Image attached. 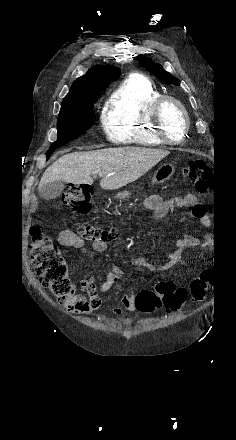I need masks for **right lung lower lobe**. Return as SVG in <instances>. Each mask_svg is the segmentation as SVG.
Masks as SVG:
<instances>
[{
	"instance_id": "1",
	"label": "right lung lower lobe",
	"mask_w": 236,
	"mask_h": 440,
	"mask_svg": "<svg viewBox=\"0 0 236 440\" xmlns=\"http://www.w3.org/2000/svg\"><path fill=\"white\" fill-rule=\"evenodd\" d=\"M54 150H55V149H49V150L47 151V159H49L50 155L52 154V152H53Z\"/></svg>"
}]
</instances>
